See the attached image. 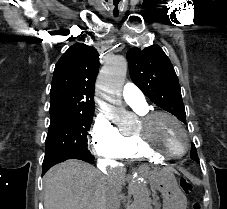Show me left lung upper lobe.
I'll return each mask as SVG.
<instances>
[{
  "label": "left lung upper lobe",
  "mask_w": 227,
  "mask_h": 209,
  "mask_svg": "<svg viewBox=\"0 0 227 209\" xmlns=\"http://www.w3.org/2000/svg\"><path fill=\"white\" fill-rule=\"evenodd\" d=\"M127 60L130 77L141 91L160 108L186 124L178 78L164 51L158 45L143 50L132 48L127 52ZM192 147L191 159L199 163L193 143Z\"/></svg>",
  "instance_id": "1"
}]
</instances>
